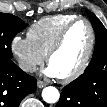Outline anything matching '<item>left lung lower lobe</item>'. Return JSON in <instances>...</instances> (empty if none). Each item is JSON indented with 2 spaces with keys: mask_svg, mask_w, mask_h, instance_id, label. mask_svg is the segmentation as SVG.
<instances>
[{
  "mask_svg": "<svg viewBox=\"0 0 107 107\" xmlns=\"http://www.w3.org/2000/svg\"><path fill=\"white\" fill-rule=\"evenodd\" d=\"M97 63L90 86L71 82L62 89L56 107H107V64L102 51Z\"/></svg>",
  "mask_w": 107,
  "mask_h": 107,
  "instance_id": "1",
  "label": "left lung lower lobe"
}]
</instances>
